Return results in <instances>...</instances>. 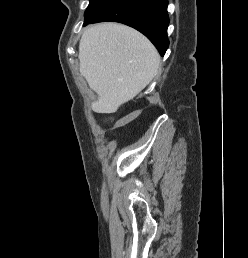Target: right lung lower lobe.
Returning <instances> with one entry per match:
<instances>
[{"mask_svg": "<svg viewBox=\"0 0 248 258\" xmlns=\"http://www.w3.org/2000/svg\"><path fill=\"white\" fill-rule=\"evenodd\" d=\"M167 6L168 0H117L96 18L84 21V25L104 21L126 24L143 33L164 56L169 46Z\"/></svg>", "mask_w": 248, "mask_h": 258, "instance_id": "right-lung-lower-lobe-1", "label": "right lung lower lobe"}]
</instances>
